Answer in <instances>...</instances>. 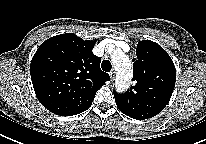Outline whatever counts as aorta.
Segmentation results:
<instances>
[{
    "mask_svg": "<svg viewBox=\"0 0 206 144\" xmlns=\"http://www.w3.org/2000/svg\"><path fill=\"white\" fill-rule=\"evenodd\" d=\"M116 71L115 87L118 92L128 89L132 79V65L129 57L121 51L115 52L111 57Z\"/></svg>",
    "mask_w": 206,
    "mask_h": 144,
    "instance_id": "aorta-1",
    "label": "aorta"
}]
</instances>
